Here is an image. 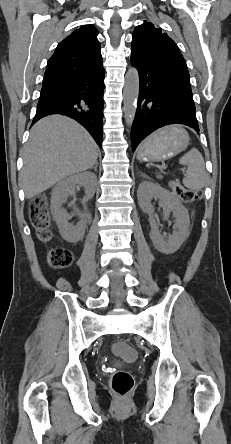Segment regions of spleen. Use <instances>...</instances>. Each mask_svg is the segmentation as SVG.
Returning a JSON list of instances; mask_svg holds the SVG:
<instances>
[{
    "mask_svg": "<svg viewBox=\"0 0 231 444\" xmlns=\"http://www.w3.org/2000/svg\"><path fill=\"white\" fill-rule=\"evenodd\" d=\"M179 163L187 166L182 181L185 187L192 190H200L206 185L207 173L205 162L202 154L196 148H192L184 154L179 159Z\"/></svg>",
    "mask_w": 231,
    "mask_h": 444,
    "instance_id": "1",
    "label": "spleen"
}]
</instances>
